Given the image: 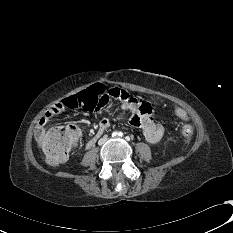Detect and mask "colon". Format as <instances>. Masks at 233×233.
I'll list each match as a JSON object with an SVG mask.
<instances>
[{"label":"colon","mask_w":233,"mask_h":233,"mask_svg":"<svg viewBox=\"0 0 233 233\" xmlns=\"http://www.w3.org/2000/svg\"><path fill=\"white\" fill-rule=\"evenodd\" d=\"M105 91L106 88L103 85L95 84L74 96L64 99V105L69 109L94 111L95 103ZM173 113L180 121L187 122L190 119L189 114L183 107L176 106ZM180 131L182 136L189 138L192 136L194 129L191 124L185 123ZM79 136L78 128L69 124L64 127H52L39 131L37 141L46 159L50 163L58 165L67 160Z\"/></svg>","instance_id":"colon-1"}]
</instances>
